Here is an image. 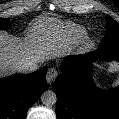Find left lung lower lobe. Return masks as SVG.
I'll return each instance as SVG.
<instances>
[{
  "mask_svg": "<svg viewBox=\"0 0 119 119\" xmlns=\"http://www.w3.org/2000/svg\"><path fill=\"white\" fill-rule=\"evenodd\" d=\"M98 58L119 61V50L98 48L65 59L62 74L53 84L57 119H119V87L99 90L88 72L89 65Z\"/></svg>",
  "mask_w": 119,
  "mask_h": 119,
  "instance_id": "1",
  "label": "left lung lower lobe"
}]
</instances>
